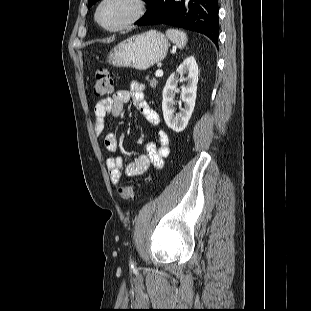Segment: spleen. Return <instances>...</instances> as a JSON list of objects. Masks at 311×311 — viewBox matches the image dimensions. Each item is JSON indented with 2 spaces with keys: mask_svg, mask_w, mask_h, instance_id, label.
I'll return each instance as SVG.
<instances>
[{
  "mask_svg": "<svg viewBox=\"0 0 311 311\" xmlns=\"http://www.w3.org/2000/svg\"><path fill=\"white\" fill-rule=\"evenodd\" d=\"M166 36L180 49L184 48L187 43V35L183 31L168 29L166 31Z\"/></svg>",
  "mask_w": 311,
  "mask_h": 311,
  "instance_id": "1",
  "label": "spleen"
}]
</instances>
